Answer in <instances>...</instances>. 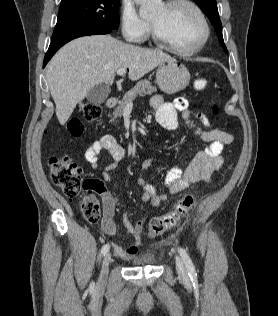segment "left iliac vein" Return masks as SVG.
<instances>
[{"label":"left iliac vein","instance_id":"1","mask_svg":"<svg viewBox=\"0 0 278 316\" xmlns=\"http://www.w3.org/2000/svg\"><path fill=\"white\" fill-rule=\"evenodd\" d=\"M176 269H177L178 274L181 277L187 276V271H186L184 262L182 261V259L180 257H176Z\"/></svg>","mask_w":278,"mask_h":316}]
</instances>
